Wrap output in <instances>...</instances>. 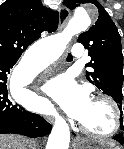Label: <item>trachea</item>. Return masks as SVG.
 I'll return each instance as SVG.
<instances>
[{"label":"trachea","instance_id":"obj_1","mask_svg":"<svg viewBox=\"0 0 124 149\" xmlns=\"http://www.w3.org/2000/svg\"><path fill=\"white\" fill-rule=\"evenodd\" d=\"M73 60V57H72V55L69 53L68 54V57H67V61H72Z\"/></svg>","mask_w":124,"mask_h":149}]
</instances>
